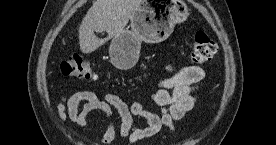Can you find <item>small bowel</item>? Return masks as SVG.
Instances as JSON below:
<instances>
[{"label":"small bowel","instance_id":"small-bowel-1","mask_svg":"<svg viewBox=\"0 0 276 145\" xmlns=\"http://www.w3.org/2000/svg\"><path fill=\"white\" fill-rule=\"evenodd\" d=\"M167 69L172 75L160 80L158 90L151 97L160 108L161 114L146 110L140 101L127 104L113 93L100 98L94 92L79 91L60 97L56 104L59 119L61 122L71 121L79 128H84L91 112H101L106 119V125L96 145H110L115 139L116 127L113 110L118 112L121 119L119 135L128 144L154 138L163 127L172 132L175 123L185 118L194 108L196 97L193 92L204 78L205 73L199 66L175 69L168 65ZM135 116L145 119L147 126L136 127L133 122Z\"/></svg>","mask_w":276,"mask_h":145}]
</instances>
